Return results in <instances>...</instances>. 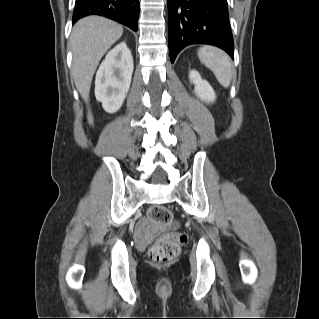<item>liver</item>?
Listing matches in <instances>:
<instances>
[{"mask_svg":"<svg viewBox=\"0 0 319 319\" xmlns=\"http://www.w3.org/2000/svg\"><path fill=\"white\" fill-rule=\"evenodd\" d=\"M123 34V27L100 16L79 20L73 27L70 42L73 54L72 76L82 99L88 103L91 82L99 61ZM88 121L93 123L91 113Z\"/></svg>","mask_w":319,"mask_h":319,"instance_id":"6515ba94","label":"liver"}]
</instances>
